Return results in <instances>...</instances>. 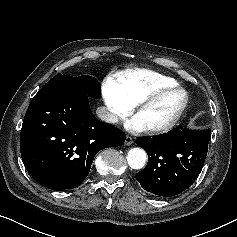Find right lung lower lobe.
Segmentation results:
<instances>
[{
  "label": "right lung lower lobe",
  "mask_w": 237,
  "mask_h": 237,
  "mask_svg": "<svg viewBox=\"0 0 237 237\" xmlns=\"http://www.w3.org/2000/svg\"><path fill=\"white\" fill-rule=\"evenodd\" d=\"M88 95L67 86L42 87L32 99L20 135L21 156L39 184L72 189L88 176L94 156L125 142V133L101 122Z\"/></svg>",
  "instance_id": "right-lung-lower-lobe-1"
}]
</instances>
